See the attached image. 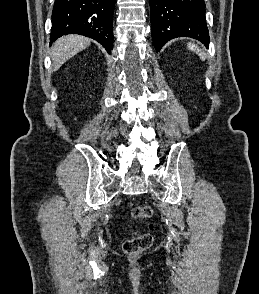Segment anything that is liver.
<instances>
[{
    "mask_svg": "<svg viewBox=\"0 0 259 294\" xmlns=\"http://www.w3.org/2000/svg\"><path fill=\"white\" fill-rule=\"evenodd\" d=\"M90 43L89 38L79 35H67L59 38L51 48L54 69H58L74 55L86 49Z\"/></svg>",
    "mask_w": 259,
    "mask_h": 294,
    "instance_id": "obj_1",
    "label": "liver"
}]
</instances>
